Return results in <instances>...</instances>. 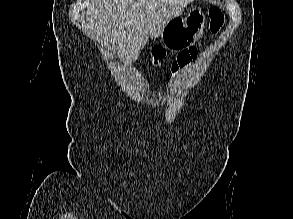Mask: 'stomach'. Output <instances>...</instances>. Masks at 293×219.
<instances>
[{
  "instance_id": "0dacf381",
  "label": "stomach",
  "mask_w": 293,
  "mask_h": 219,
  "mask_svg": "<svg viewBox=\"0 0 293 219\" xmlns=\"http://www.w3.org/2000/svg\"><path fill=\"white\" fill-rule=\"evenodd\" d=\"M204 24V12L193 8L185 18L177 16L167 22L160 33L161 41L169 49L183 50L202 36Z\"/></svg>"
}]
</instances>
